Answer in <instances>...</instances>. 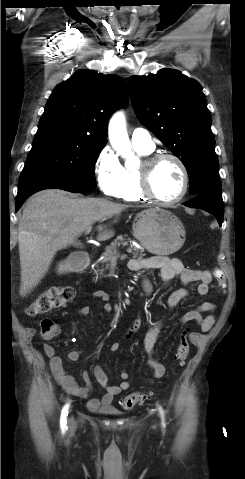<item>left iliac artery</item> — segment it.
<instances>
[{
  "label": "left iliac artery",
  "instance_id": "obj_1",
  "mask_svg": "<svg viewBox=\"0 0 245 479\" xmlns=\"http://www.w3.org/2000/svg\"><path fill=\"white\" fill-rule=\"evenodd\" d=\"M159 411H160V414H161V417H162V421H163V426H165V423H164V411L162 410V408L159 407Z\"/></svg>",
  "mask_w": 245,
  "mask_h": 479
}]
</instances>
